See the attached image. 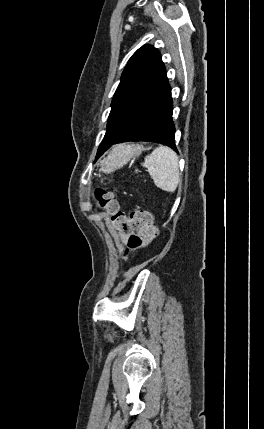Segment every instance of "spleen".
<instances>
[{"instance_id":"3e777b00","label":"spleen","mask_w":264,"mask_h":429,"mask_svg":"<svg viewBox=\"0 0 264 429\" xmlns=\"http://www.w3.org/2000/svg\"><path fill=\"white\" fill-rule=\"evenodd\" d=\"M143 166L154 184L166 191L174 192L180 181L177 154L166 146H159L145 157Z\"/></svg>"}]
</instances>
